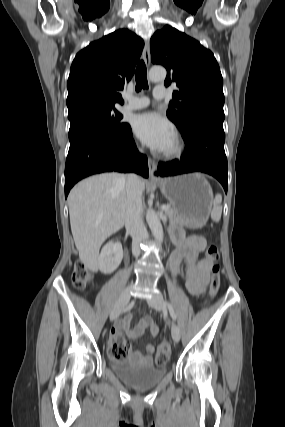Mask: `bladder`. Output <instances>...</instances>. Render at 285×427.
Here are the masks:
<instances>
[{
    "label": "bladder",
    "instance_id": "31cf9c89",
    "mask_svg": "<svg viewBox=\"0 0 285 427\" xmlns=\"http://www.w3.org/2000/svg\"><path fill=\"white\" fill-rule=\"evenodd\" d=\"M112 369L125 384L139 390L154 388L167 372L165 367L127 365L118 362L112 363Z\"/></svg>",
    "mask_w": 285,
    "mask_h": 427
}]
</instances>
